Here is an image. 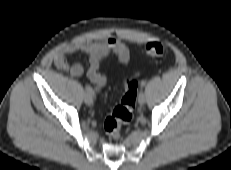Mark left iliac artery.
<instances>
[{
	"mask_svg": "<svg viewBox=\"0 0 231 170\" xmlns=\"http://www.w3.org/2000/svg\"><path fill=\"white\" fill-rule=\"evenodd\" d=\"M145 84H146V83H145L144 81L141 83L142 86H145Z\"/></svg>",
	"mask_w": 231,
	"mask_h": 170,
	"instance_id": "left-iliac-artery-1",
	"label": "left iliac artery"
}]
</instances>
